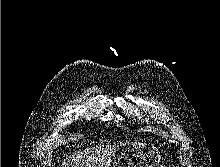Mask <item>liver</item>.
<instances>
[{"label":"liver","instance_id":"liver-1","mask_svg":"<svg viewBox=\"0 0 220 167\" xmlns=\"http://www.w3.org/2000/svg\"><path fill=\"white\" fill-rule=\"evenodd\" d=\"M115 146L106 145L79 150L70 155L61 167H108Z\"/></svg>","mask_w":220,"mask_h":167}]
</instances>
